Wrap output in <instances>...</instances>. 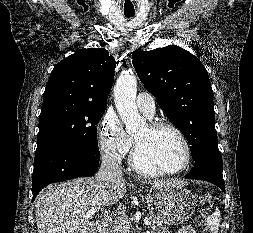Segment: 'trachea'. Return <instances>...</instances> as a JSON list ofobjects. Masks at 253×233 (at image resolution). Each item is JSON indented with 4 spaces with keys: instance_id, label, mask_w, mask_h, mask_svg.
Returning a JSON list of instances; mask_svg holds the SVG:
<instances>
[{
    "instance_id": "1",
    "label": "trachea",
    "mask_w": 253,
    "mask_h": 233,
    "mask_svg": "<svg viewBox=\"0 0 253 233\" xmlns=\"http://www.w3.org/2000/svg\"><path fill=\"white\" fill-rule=\"evenodd\" d=\"M125 16H126L127 18H130V17H133V16H134V13H125Z\"/></svg>"
}]
</instances>
